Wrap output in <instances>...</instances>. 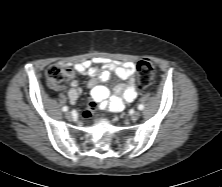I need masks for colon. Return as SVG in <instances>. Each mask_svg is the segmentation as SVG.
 Segmentation results:
<instances>
[{"label":"colon","mask_w":222,"mask_h":187,"mask_svg":"<svg viewBox=\"0 0 222 187\" xmlns=\"http://www.w3.org/2000/svg\"><path fill=\"white\" fill-rule=\"evenodd\" d=\"M156 73V66L149 60H140L137 63L138 87L146 89L153 83ZM48 80L54 84H59L64 78V70L59 65H51L46 71ZM98 104L96 99H92L89 104V111H94Z\"/></svg>","instance_id":"colon-1"}]
</instances>
